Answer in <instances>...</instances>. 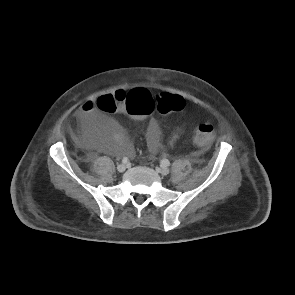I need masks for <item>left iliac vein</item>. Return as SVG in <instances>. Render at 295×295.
Instances as JSON below:
<instances>
[{
  "label": "left iliac vein",
  "instance_id": "obj_1",
  "mask_svg": "<svg viewBox=\"0 0 295 295\" xmlns=\"http://www.w3.org/2000/svg\"><path fill=\"white\" fill-rule=\"evenodd\" d=\"M158 172L161 174V175H168L169 174V172H170V170H169V168H167V167H161V168H159L158 169Z\"/></svg>",
  "mask_w": 295,
  "mask_h": 295
}]
</instances>
